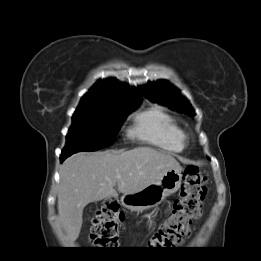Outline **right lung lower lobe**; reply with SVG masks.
Wrapping results in <instances>:
<instances>
[{"label": "right lung lower lobe", "mask_w": 261, "mask_h": 261, "mask_svg": "<svg viewBox=\"0 0 261 261\" xmlns=\"http://www.w3.org/2000/svg\"><path fill=\"white\" fill-rule=\"evenodd\" d=\"M69 156H70L69 154H61L60 156L61 162H63Z\"/></svg>", "instance_id": "obj_1"}]
</instances>
